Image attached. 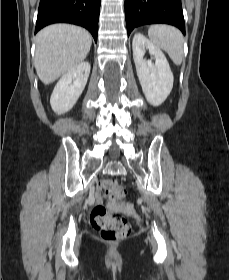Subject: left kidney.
Instances as JSON below:
<instances>
[{
	"mask_svg": "<svg viewBox=\"0 0 229 280\" xmlns=\"http://www.w3.org/2000/svg\"><path fill=\"white\" fill-rule=\"evenodd\" d=\"M133 58L137 76L147 101L153 106L161 105L173 87V73L164 53L141 33H136L132 41ZM146 50L155 59H144Z\"/></svg>",
	"mask_w": 229,
	"mask_h": 280,
	"instance_id": "5707ae66",
	"label": "left kidney"
}]
</instances>
